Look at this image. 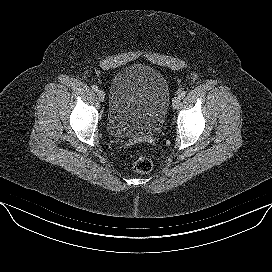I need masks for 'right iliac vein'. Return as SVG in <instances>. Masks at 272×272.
<instances>
[{
	"mask_svg": "<svg viewBox=\"0 0 272 272\" xmlns=\"http://www.w3.org/2000/svg\"><path fill=\"white\" fill-rule=\"evenodd\" d=\"M97 96H98V99L100 100V101H104V99H105V93H104V91L103 90H98L97 91Z\"/></svg>",
	"mask_w": 272,
	"mask_h": 272,
	"instance_id": "63e3f726",
	"label": "right iliac vein"
}]
</instances>
